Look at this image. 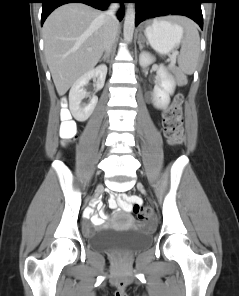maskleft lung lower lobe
Here are the masks:
<instances>
[{"instance_id": "left-lung-lower-lobe-1", "label": "left lung lower lobe", "mask_w": 239, "mask_h": 296, "mask_svg": "<svg viewBox=\"0 0 239 296\" xmlns=\"http://www.w3.org/2000/svg\"><path fill=\"white\" fill-rule=\"evenodd\" d=\"M136 26L145 19L164 15H183L194 20L203 29L201 3L204 0H134Z\"/></svg>"}]
</instances>
